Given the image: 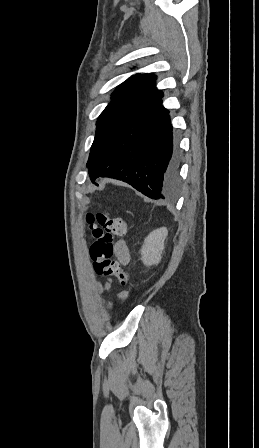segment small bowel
Segmentation results:
<instances>
[{"label": "small bowel", "instance_id": "c3829d8e", "mask_svg": "<svg viewBox=\"0 0 259 448\" xmlns=\"http://www.w3.org/2000/svg\"><path fill=\"white\" fill-rule=\"evenodd\" d=\"M114 254L117 259V261L121 265H127L130 262V252L129 248L125 241L119 240L114 245ZM100 291L103 292L105 290H108L110 288V283L107 282L105 285L99 284ZM119 298L125 299L127 297V293H120L118 295Z\"/></svg>", "mask_w": 259, "mask_h": 448}]
</instances>
